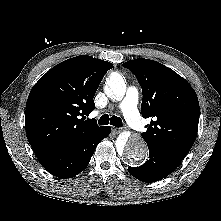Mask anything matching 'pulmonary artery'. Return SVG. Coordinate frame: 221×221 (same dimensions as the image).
I'll return each mask as SVG.
<instances>
[{"label": "pulmonary artery", "instance_id": "1", "mask_svg": "<svg viewBox=\"0 0 221 221\" xmlns=\"http://www.w3.org/2000/svg\"><path fill=\"white\" fill-rule=\"evenodd\" d=\"M138 98V90L135 87L130 86L126 91L124 98L121 100L119 107L123 112L127 122L134 129L143 131L144 121L137 109Z\"/></svg>", "mask_w": 221, "mask_h": 221}]
</instances>
